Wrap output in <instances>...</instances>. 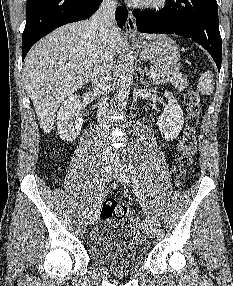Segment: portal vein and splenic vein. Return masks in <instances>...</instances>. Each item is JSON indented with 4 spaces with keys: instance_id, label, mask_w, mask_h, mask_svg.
I'll return each mask as SVG.
<instances>
[{
    "instance_id": "portal-vein-and-splenic-vein-1",
    "label": "portal vein and splenic vein",
    "mask_w": 233,
    "mask_h": 286,
    "mask_svg": "<svg viewBox=\"0 0 233 286\" xmlns=\"http://www.w3.org/2000/svg\"><path fill=\"white\" fill-rule=\"evenodd\" d=\"M156 76H157V73H156V72L150 73V77H151V78H154V77H156Z\"/></svg>"
}]
</instances>
